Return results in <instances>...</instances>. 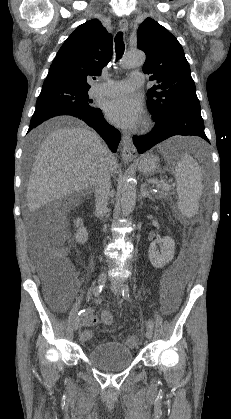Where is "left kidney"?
<instances>
[{
    "label": "left kidney",
    "instance_id": "1",
    "mask_svg": "<svg viewBox=\"0 0 231 419\" xmlns=\"http://www.w3.org/2000/svg\"><path fill=\"white\" fill-rule=\"evenodd\" d=\"M158 245L161 250H158ZM149 259L155 268H163L166 264L172 261L175 253L174 240L166 236L162 239L154 240L149 246Z\"/></svg>",
    "mask_w": 231,
    "mask_h": 419
}]
</instances>
